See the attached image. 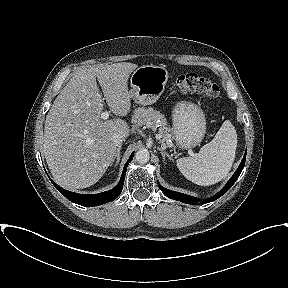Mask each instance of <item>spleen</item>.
<instances>
[{
  "mask_svg": "<svg viewBox=\"0 0 288 288\" xmlns=\"http://www.w3.org/2000/svg\"><path fill=\"white\" fill-rule=\"evenodd\" d=\"M237 134L233 124L226 120L214 139L192 157L179 158L177 167L190 181L209 186L224 179L235 159Z\"/></svg>",
  "mask_w": 288,
  "mask_h": 288,
  "instance_id": "3e777b00",
  "label": "spleen"
}]
</instances>
